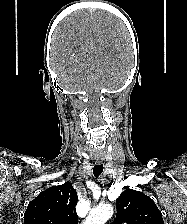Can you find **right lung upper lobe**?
Returning <instances> with one entry per match:
<instances>
[{
	"label": "right lung upper lobe",
	"instance_id": "right-lung-upper-lobe-1",
	"mask_svg": "<svg viewBox=\"0 0 187 224\" xmlns=\"http://www.w3.org/2000/svg\"><path fill=\"white\" fill-rule=\"evenodd\" d=\"M76 190L70 182L42 191L27 207L24 224H77Z\"/></svg>",
	"mask_w": 187,
	"mask_h": 224
}]
</instances>
